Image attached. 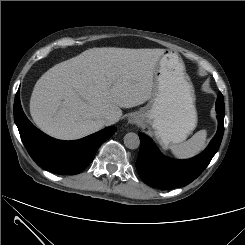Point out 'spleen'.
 Returning a JSON list of instances; mask_svg holds the SVG:
<instances>
[{
    "instance_id": "obj_1",
    "label": "spleen",
    "mask_w": 245,
    "mask_h": 245,
    "mask_svg": "<svg viewBox=\"0 0 245 245\" xmlns=\"http://www.w3.org/2000/svg\"><path fill=\"white\" fill-rule=\"evenodd\" d=\"M207 131L202 129L196 132L186 142L175 144L170 147L175 157L179 159H188L199 154L206 145Z\"/></svg>"
}]
</instances>
